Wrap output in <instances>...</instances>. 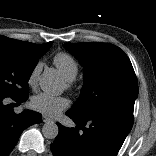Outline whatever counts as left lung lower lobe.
<instances>
[{
	"label": "left lung lower lobe",
	"mask_w": 156,
	"mask_h": 156,
	"mask_svg": "<svg viewBox=\"0 0 156 156\" xmlns=\"http://www.w3.org/2000/svg\"><path fill=\"white\" fill-rule=\"evenodd\" d=\"M66 115L78 126L57 123L59 133L50 145L54 156H116L133 126V113L119 108Z\"/></svg>",
	"instance_id": "0a47b994"
}]
</instances>
